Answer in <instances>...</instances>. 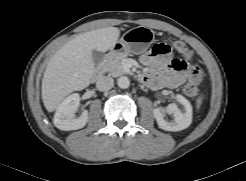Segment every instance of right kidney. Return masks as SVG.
Returning a JSON list of instances; mask_svg holds the SVG:
<instances>
[{"instance_id":"ca27d5eb","label":"right kidney","mask_w":246,"mask_h":181,"mask_svg":"<svg viewBox=\"0 0 246 181\" xmlns=\"http://www.w3.org/2000/svg\"><path fill=\"white\" fill-rule=\"evenodd\" d=\"M80 96L77 93L66 97L58 106L54 118V125L63 131L77 130L83 128L88 121V111L84 110L80 117L74 118L79 106Z\"/></svg>"}]
</instances>
